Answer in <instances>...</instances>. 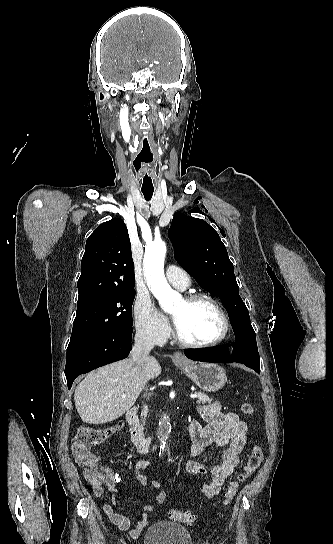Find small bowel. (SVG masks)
<instances>
[{
  "label": "small bowel",
  "instance_id": "obj_1",
  "mask_svg": "<svg viewBox=\"0 0 333 544\" xmlns=\"http://www.w3.org/2000/svg\"><path fill=\"white\" fill-rule=\"evenodd\" d=\"M198 411L205 420L206 425L202 426L197 421L191 420L185 430L191 438L189 455L192 459L184 463L183 469L190 474H206L207 468L203 462L195 458L205 454L207 448L211 445L225 448L222 454L220 465H214L210 468L211 481L198 486V490L207 498L216 497L224 485L225 480L231 476L239 464L240 454L247 440V424L233 412H224L218 402L201 404ZM152 466L150 460H139L134 466V475L143 487L148 486V479L143 471ZM120 477L109 469L104 470L103 480L100 484L92 486L94 495L101 498L106 489L115 494L118 491L117 484ZM152 487L157 492L155 504H144L143 512L139 521L130 529L131 520L117 513L111 503L103 505V512L120 531H128V537L138 538L149 523V512L153 511L156 505L161 504L165 499V493L159 482L155 481Z\"/></svg>",
  "mask_w": 333,
  "mask_h": 544
}]
</instances>
